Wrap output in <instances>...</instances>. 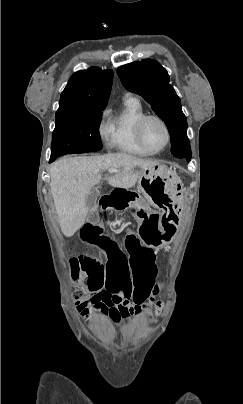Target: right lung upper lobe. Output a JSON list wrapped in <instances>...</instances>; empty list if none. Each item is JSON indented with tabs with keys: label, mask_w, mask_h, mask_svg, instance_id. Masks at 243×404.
<instances>
[{
	"label": "right lung upper lobe",
	"mask_w": 243,
	"mask_h": 404,
	"mask_svg": "<svg viewBox=\"0 0 243 404\" xmlns=\"http://www.w3.org/2000/svg\"><path fill=\"white\" fill-rule=\"evenodd\" d=\"M113 72L90 67L74 73L63 90L58 110L106 107L112 86Z\"/></svg>",
	"instance_id": "obj_1"
}]
</instances>
